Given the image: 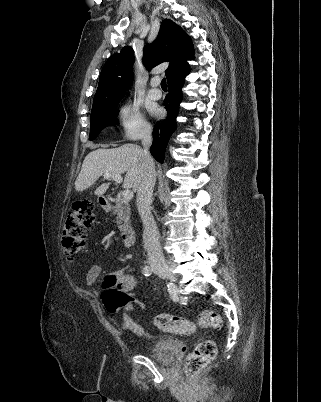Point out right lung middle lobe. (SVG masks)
Returning <instances> with one entry per match:
<instances>
[{
    "label": "right lung middle lobe",
    "mask_w": 321,
    "mask_h": 402,
    "mask_svg": "<svg viewBox=\"0 0 321 402\" xmlns=\"http://www.w3.org/2000/svg\"><path fill=\"white\" fill-rule=\"evenodd\" d=\"M120 99H117L107 105L92 108L90 120V140H94L103 128L118 123L116 117L119 111L116 110V107Z\"/></svg>",
    "instance_id": "1"
}]
</instances>
